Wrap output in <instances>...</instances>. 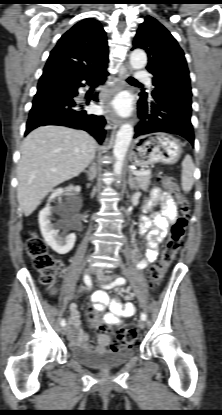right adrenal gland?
Wrapping results in <instances>:
<instances>
[{
	"label": "right adrenal gland",
	"instance_id": "1",
	"mask_svg": "<svg viewBox=\"0 0 222 415\" xmlns=\"http://www.w3.org/2000/svg\"><path fill=\"white\" fill-rule=\"evenodd\" d=\"M83 172L87 174L89 181H93V179L95 178V175H96L94 167H91L89 169V171L84 170Z\"/></svg>",
	"mask_w": 222,
	"mask_h": 415
}]
</instances>
